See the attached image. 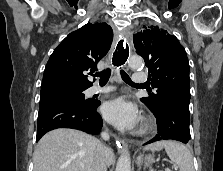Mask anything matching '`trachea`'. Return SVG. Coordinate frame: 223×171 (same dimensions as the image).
<instances>
[{
	"instance_id": "1",
	"label": "trachea",
	"mask_w": 223,
	"mask_h": 171,
	"mask_svg": "<svg viewBox=\"0 0 223 171\" xmlns=\"http://www.w3.org/2000/svg\"><path fill=\"white\" fill-rule=\"evenodd\" d=\"M120 74H121L122 80L124 82H126L127 84H131V85L135 84L132 82L131 78L124 70H120ZM110 75H111L110 68H107V69L103 70L102 72H98V73L94 74L95 77L100 78V84H102V85H104L108 82Z\"/></svg>"
}]
</instances>
